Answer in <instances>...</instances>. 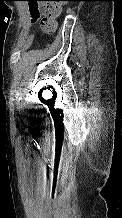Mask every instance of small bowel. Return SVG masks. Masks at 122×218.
I'll use <instances>...</instances> for the list:
<instances>
[{"mask_svg":"<svg viewBox=\"0 0 122 218\" xmlns=\"http://www.w3.org/2000/svg\"><path fill=\"white\" fill-rule=\"evenodd\" d=\"M37 8L40 9V4L37 5Z\"/></svg>","mask_w":122,"mask_h":218,"instance_id":"obj_1","label":"small bowel"}]
</instances>
